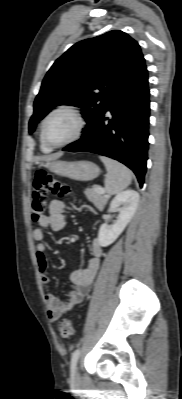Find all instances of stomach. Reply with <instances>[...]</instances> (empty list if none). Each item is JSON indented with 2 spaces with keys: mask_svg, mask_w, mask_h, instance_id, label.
<instances>
[{
  "mask_svg": "<svg viewBox=\"0 0 182 399\" xmlns=\"http://www.w3.org/2000/svg\"><path fill=\"white\" fill-rule=\"evenodd\" d=\"M44 166L57 175L74 180H92L100 174L99 167L90 161H51Z\"/></svg>",
  "mask_w": 182,
  "mask_h": 399,
  "instance_id": "stomach-1",
  "label": "stomach"
}]
</instances>
